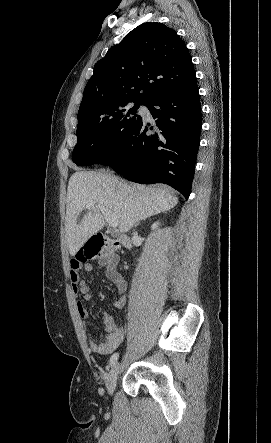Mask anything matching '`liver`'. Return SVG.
Listing matches in <instances>:
<instances>
[{
    "instance_id": "obj_1",
    "label": "liver",
    "mask_w": 271,
    "mask_h": 443,
    "mask_svg": "<svg viewBox=\"0 0 271 443\" xmlns=\"http://www.w3.org/2000/svg\"><path fill=\"white\" fill-rule=\"evenodd\" d=\"M87 204H101L113 212L119 231L125 233L134 223L171 210L178 204V198L162 188L141 184L129 186L125 180L111 174L75 172L68 182L66 204L65 231L70 255H75L83 243L105 225L100 210H87Z\"/></svg>"
}]
</instances>
